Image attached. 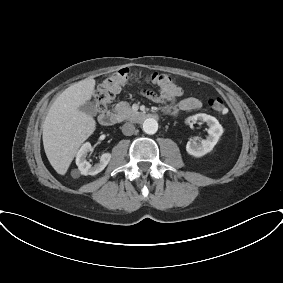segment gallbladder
<instances>
[{
	"label": "gallbladder",
	"instance_id": "bac80fb5",
	"mask_svg": "<svg viewBox=\"0 0 283 283\" xmlns=\"http://www.w3.org/2000/svg\"><path fill=\"white\" fill-rule=\"evenodd\" d=\"M79 109L91 116L97 113L96 106L92 102H86L84 105L80 106Z\"/></svg>",
	"mask_w": 283,
	"mask_h": 283
}]
</instances>
